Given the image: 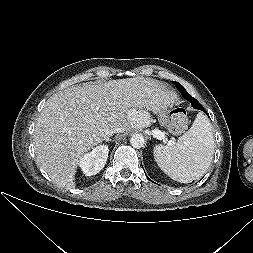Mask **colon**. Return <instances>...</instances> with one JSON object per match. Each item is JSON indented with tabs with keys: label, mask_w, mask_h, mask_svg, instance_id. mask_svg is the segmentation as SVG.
<instances>
[{
	"label": "colon",
	"mask_w": 253,
	"mask_h": 253,
	"mask_svg": "<svg viewBox=\"0 0 253 253\" xmlns=\"http://www.w3.org/2000/svg\"><path fill=\"white\" fill-rule=\"evenodd\" d=\"M168 128L173 133H180L187 128L188 119L182 108L170 110Z\"/></svg>",
	"instance_id": "obj_1"
}]
</instances>
